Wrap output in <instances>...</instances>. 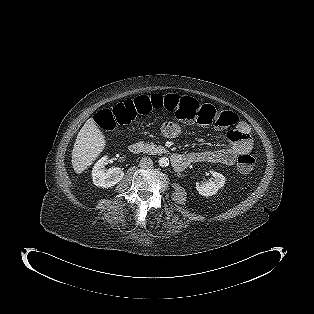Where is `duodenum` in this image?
<instances>
[{
    "label": "duodenum",
    "mask_w": 314,
    "mask_h": 314,
    "mask_svg": "<svg viewBox=\"0 0 314 314\" xmlns=\"http://www.w3.org/2000/svg\"><path fill=\"white\" fill-rule=\"evenodd\" d=\"M144 150L143 144L139 142L132 143L129 146V151L131 154L138 155L141 154ZM194 162V158L192 156H184L180 154H172L171 155V163L172 167L176 171H183L188 167L189 164Z\"/></svg>",
    "instance_id": "1"
}]
</instances>
